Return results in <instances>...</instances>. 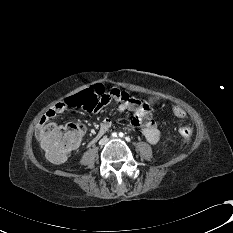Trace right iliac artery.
Masks as SVG:
<instances>
[{
    "mask_svg": "<svg viewBox=\"0 0 233 233\" xmlns=\"http://www.w3.org/2000/svg\"><path fill=\"white\" fill-rule=\"evenodd\" d=\"M111 136H112V137H117V133H116V132H113V133L111 134Z\"/></svg>",
    "mask_w": 233,
    "mask_h": 233,
    "instance_id": "obj_1",
    "label": "right iliac artery"
}]
</instances>
